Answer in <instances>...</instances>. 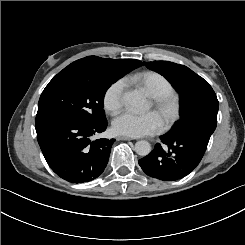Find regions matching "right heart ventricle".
<instances>
[{"instance_id": "e07e8e85", "label": "right heart ventricle", "mask_w": 245, "mask_h": 245, "mask_svg": "<svg viewBox=\"0 0 245 245\" xmlns=\"http://www.w3.org/2000/svg\"><path fill=\"white\" fill-rule=\"evenodd\" d=\"M126 80L140 86L150 96L174 94L173 85L163 75L153 71H136Z\"/></svg>"}]
</instances>
